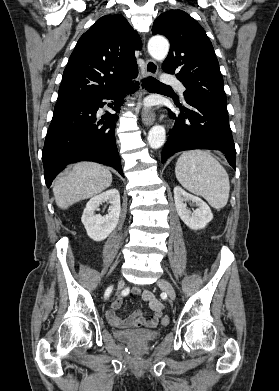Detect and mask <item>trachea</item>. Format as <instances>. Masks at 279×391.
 Masks as SVG:
<instances>
[{
	"instance_id": "3493384b",
	"label": "trachea",
	"mask_w": 279,
	"mask_h": 391,
	"mask_svg": "<svg viewBox=\"0 0 279 391\" xmlns=\"http://www.w3.org/2000/svg\"><path fill=\"white\" fill-rule=\"evenodd\" d=\"M142 85L147 90L171 89L170 86L165 85L152 77L142 80Z\"/></svg>"
}]
</instances>
